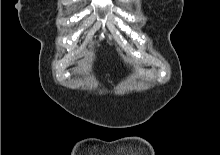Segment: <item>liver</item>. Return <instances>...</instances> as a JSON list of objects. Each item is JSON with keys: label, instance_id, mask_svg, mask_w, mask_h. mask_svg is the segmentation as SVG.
Wrapping results in <instances>:
<instances>
[{"label": "liver", "instance_id": "obj_1", "mask_svg": "<svg viewBox=\"0 0 220 155\" xmlns=\"http://www.w3.org/2000/svg\"><path fill=\"white\" fill-rule=\"evenodd\" d=\"M138 74L140 76H145V77H153V74L150 71H145L142 68H138Z\"/></svg>", "mask_w": 220, "mask_h": 155}]
</instances>
